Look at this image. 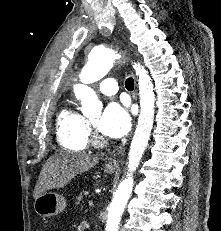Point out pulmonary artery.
I'll list each match as a JSON object with an SVG mask.
<instances>
[{"instance_id":"pulmonary-artery-1","label":"pulmonary artery","mask_w":221,"mask_h":231,"mask_svg":"<svg viewBox=\"0 0 221 231\" xmlns=\"http://www.w3.org/2000/svg\"><path fill=\"white\" fill-rule=\"evenodd\" d=\"M98 89L102 94L111 96L118 92V84L114 79L108 78L100 82Z\"/></svg>"}]
</instances>
